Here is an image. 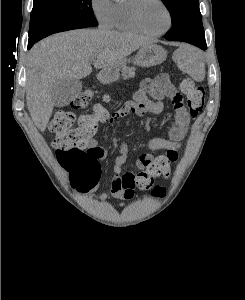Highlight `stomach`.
Returning a JSON list of instances; mask_svg holds the SVG:
<instances>
[{
    "instance_id": "0dacf381",
    "label": "stomach",
    "mask_w": 245,
    "mask_h": 300,
    "mask_svg": "<svg viewBox=\"0 0 245 300\" xmlns=\"http://www.w3.org/2000/svg\"><path fill=\"white\" fill-rule=\"evenodd\" d=\"M167 52L161 46L147 45L141 47L137 54L131 60L135 65L142 67H152L163 63L166 60ZM128 59H123L118 63L107 67L102 73L104 81H114L120 76V72H123L127 68Z\"/></svg>"
}]
</instances>
